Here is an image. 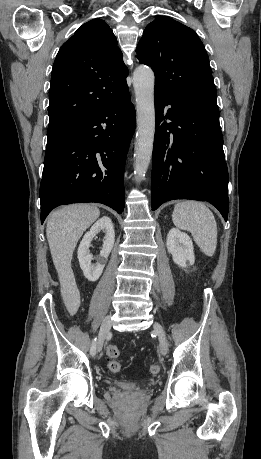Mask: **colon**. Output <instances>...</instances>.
<instances>
[{
  "mask_svg": "<svg viewBox=\"0 0 261 459\" xmlns=\"http://www.w3.org/2000/svg\"><path fill=\"white\" fill-rule=\"evenodd\" d=\"M106 355L108 356L109 360L107 362L108 369L113 372L117 373L120 370V363L115 360L119 356V349L116 345H108L106 348ZM160 365L154 363L150 365L149 371L151 374H158L160 372Z\"/></svg>",
  "mask_w": 261,
  "mask_h": 459,
  "instance_id": "obj_1",
  "label": "colon"
}]
</instances>
